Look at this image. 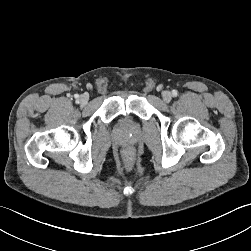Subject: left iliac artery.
Masks as SVG:
<instances>
[{"label":"left iliac artery","instance_id":"1","mask_svg":"<svg viewBox=\"0 0 251 251\" xmlns=\"http://www.w3.org/2000/svg\"><path fill=\"white\" fill-rule=\"evenodd\" d=\"M172 94H173V96H177V91H176V90H173V91H172Z\"/></svg>","mask_w":251,"mask_h":251}]
</instances>
